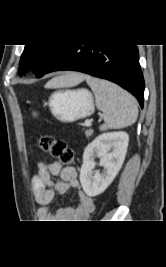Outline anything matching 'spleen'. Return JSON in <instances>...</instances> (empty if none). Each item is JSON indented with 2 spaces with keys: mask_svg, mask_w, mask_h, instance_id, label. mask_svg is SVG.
I'll return each instance as SVG.
<instances>
[{
  "mask_svg": "<svg viewBox=\"0 0 166 267\" xmlns=\"http://www.w3.org/2000/svg\"><path fill=\"white\" fill-rule=\"evenodd\" d=\"M86 81L95 94L97 108L104 113L100 130L119 129L135 123L138 107L132 95L103 79L87 77Z\"/></svg>",
  "mask_w": 166,
  "mask_h": 267,
  "instance_id": "3e777b00",
  "label": "spleen"
}]
</instances>
